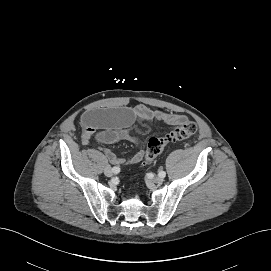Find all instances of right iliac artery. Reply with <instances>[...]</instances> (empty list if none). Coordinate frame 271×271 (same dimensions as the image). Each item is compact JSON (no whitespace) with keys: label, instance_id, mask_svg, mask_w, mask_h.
I'll use <instances>...</instances> for the list:
<instances>
[{"label":"right iliac artery","instance_id":"obj_1","mask_svg":"<svg viewBox=\"0 0 271 271\" xmlns=\"http://www.w3.org/2000/svg\"><path fill=\"white\" fill-rule=\"evenodd\" d=\"M112 171H113V173L117 174L120 172V168L115 166L112 168Z\"/></svg>","mask_w":271,"mask_h":271}]
</instances>
